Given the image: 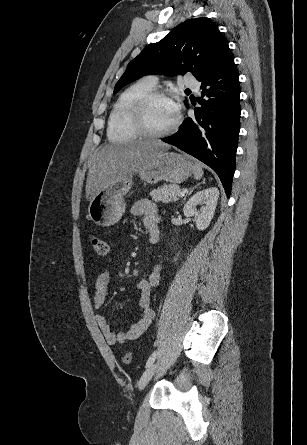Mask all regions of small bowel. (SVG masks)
I'll return each instance as SVG.
<instances>
[{
  "instance_id": "1",
  "label": "small bowel",
  "mask_w": 307,
  "mask_h": 445,
  "mask_svg": "<svg viewBox=\"0 0 307 445\" xmlns=\"http://www.w3.org/2000/svg\"><path fill=\"white\" fill-rule=\"evenodd\" d=\"M131 213L135 216H143L144 226L149 233V241L155 244L159 240L160 215L156 205L147 199L137 201L131 208ZM160 282V266H155L148 280H141L136 284L139 293L140 315L127 330L115 333L107 318L103 315H97L96 321L102 331V334L109 345L123 344L129 340H134L141 336L150 327L154 312L150 306V293L152 288L158 286ZM111 283V272L109 269L102 270L95 283L94 307L100 309L107 298Z\"/></svg>"
}]
</instances>
